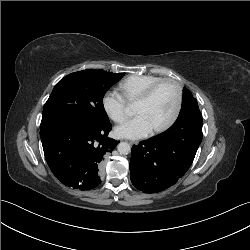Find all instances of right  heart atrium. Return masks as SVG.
<instances>
[{
  "instance_id": "1",
  "label": "right heart atrium",
  "mask_w": 250,
  "mask_h": 250,
  "mask_svg": "<svg viewBox=\"0 0 250 250\" xmlns=\"http://www.w3.org/2000/svg\"><path fill=\"white\" fill-rule=\"evenodd\" d=\"M102 107L114 122H121L127 115V101L117 90H108L102 97Z\"/></svg>"
}]
</instances>
